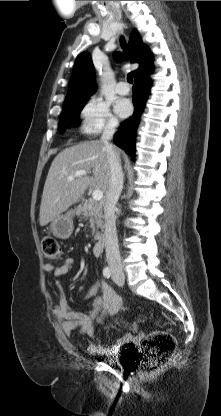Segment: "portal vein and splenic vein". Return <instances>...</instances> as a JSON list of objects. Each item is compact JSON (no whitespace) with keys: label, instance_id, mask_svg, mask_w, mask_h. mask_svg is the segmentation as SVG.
Wrapping results in <instances>:
<instances>
[{"label":"portal vein and splenic vein","instance_id":"obj_1","mask_svg":"<svg viewBox=\"0 0 221 416\" xmlns=\"http://www.w3.org/2000/svg\"><path fill=\"white\" fill-rule=\"evenodd\" d=\"M87 175V171L85 170H79L76 171L74 174L70 175L68 177V180H73L75 177H81V176H86ZM92 198L94 201H100L103 198V192L100 189H95L92 193Z\"/></svg>","mask_w":221,"mask_h":416}]
</instances>
